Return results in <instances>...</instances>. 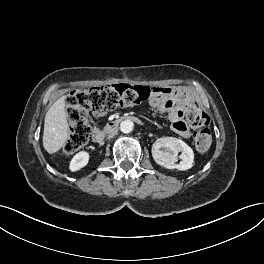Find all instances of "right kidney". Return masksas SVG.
<instances>
[{
  "mask_svg": "<svg viewBox=\"0 0 264 264\" xmlns=\"http://www.w3.org/2000/svg\"><path fill=\"white\" fill-rule=\"evenodd\" d=\"M89 162V154L86 151L78 152L70 161L69 169L71 172H76L85 167Z\"/></svg>",
  "mask_w": 264,
  "mask_h": 264,
  "instance_id": "1",
  "label": "right kidney"
}]
</instances>
